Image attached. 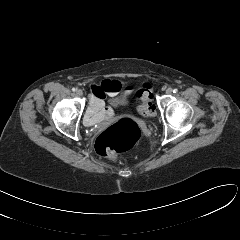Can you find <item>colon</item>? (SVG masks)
Returning a JSON list of instances; mask_svg holds the SVG:
<instances>
[{
  "label": "colon",
  "instance_id": "obj_1",
  "mask_svg": "<svg viewBox=\"0 0 240 240\" xmlns=\"http://www.w3.org/2000/svg\"><path fill=\"white\" fill-rule=\"evenodd\" d=\"M138 97L142 101V105L138 108L139 113L143 116H152L155 106L152 103L151 88L148 84L140 88ZM140 137L139 125L131 119L123 118L97 137L95 149L99 155L116 160L123 152L131 149Z\"/></svg>",
  "mask_w": 240,
  "mask_h": 240
}]
</instances>
